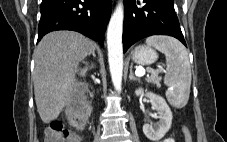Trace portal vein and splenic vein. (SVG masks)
Returning <instances> with one entry per match:
<instances>
[{
	"mask_svg": "<svg viewBox=\"0 0 227 142\" xmlns=\"http://www.w3.org/2000/svg\"><path fill=\"white\" fill-rule=\"evenodd\" d=\"M151 74H158L159 72H161L160 70H154V71H150ZM146 74V71L145 70H138L136 72V75L137 76H144Z\"/></svg>",
	"mask_w": 227,
	"mask_h": 142,
	"instance_id": "portal-vein-and-splenic-vein-1",
	"label": "portal vein and splenic vein"
}]
</instances>
